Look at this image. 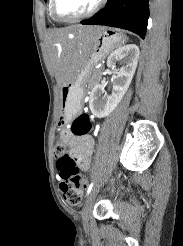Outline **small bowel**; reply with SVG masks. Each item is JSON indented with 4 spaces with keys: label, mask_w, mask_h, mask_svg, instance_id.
<instances>
[{
    "label": "small bowel",
    "mask_w": 183,
    "mask_h": 246,
    "mask_svg": "<svg viewBox=\"0 0 183 246\" xmlns=\"http://www.w3.org/2000/svg\"><path fill=\"white\" fill-rule=\"evenodd\" d=\"M63 142L71 147L70 156L83 170H88L91 164V155L94 147V139L91 135H74L71 130L62 132ZM110 187H123L124 179L110 178ZM119 181V182H118ZM121 193L125 192L124 188L120 189ZM111 198H115L116 194L111 193Z\"/></svg>",
    "instance_id": "1"
}]
</instances>
